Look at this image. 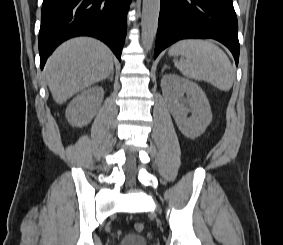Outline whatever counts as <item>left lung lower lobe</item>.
<instances>
[{"label": "left lung lower lobe", "mask_w": 283, "mask_h": 245, "mask_svg": "<svg viewBox=\"0 0 283 245\" xmlns=\"http://www.w3.org/2000/svg\"><path fill=\"white\" fill-rule=\"evenodd\" d=\"M185 38H213L239 60L238 22L232 0H161L154 58Z\"/></svg>", "instance_id": "left-lung-lower-lobe-1"}]
</instances>
